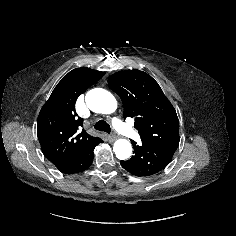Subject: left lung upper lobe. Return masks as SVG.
Listing matches in <instances>:
<instances>
[{"label": "left lung upper lobe", "instance_id": "1", "mask_svg": "<svg viewBox=\"0 0 236 236\" xmlns=\"http://www.w3.org/2000/svg\"><path fill=\"white\" fill-rule=\"evenodd\" d=\"M124 106V118L135 119L143 143L179 142L176 111L158 83L140 70L120 71L108 79Z\"/></svg>", "mask_w": 236, "mask_h": 236}]
</instances>
